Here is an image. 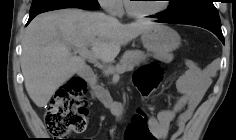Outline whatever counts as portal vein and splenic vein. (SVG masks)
<instances>
[{"label":"portal vein and splenic vein","instance_id":"18ae733b","mask_svg":"<svg viewBox=\"0 0 236 140\" xmlns=\"http://www.w3.org/2000/svg\"><path fill=\"white\" fill-rule=\"evenodd\" d=\"M77 51L79 52V54L83 58L89 59L92 62H95L97 60V56L94 53H92L91 51H89L87 49V47H79V48H77ZM115 71L117 73H123L125 70L122 68H117V69H115Z\"/></svg>","mask_w":236,"mask_h":140}]
</instances>
